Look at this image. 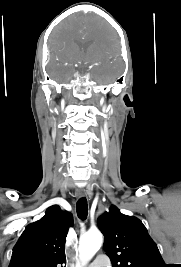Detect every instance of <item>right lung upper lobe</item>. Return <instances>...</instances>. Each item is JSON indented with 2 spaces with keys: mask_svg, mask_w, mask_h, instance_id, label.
I'll list each match as a JSON object with an SVG mask.
<instances>
[{
  "mask_svg": "<svg viewBox=\"0 0 181 267\" xmlns=\"http://www.w3.org/2000/svg\"><path fill=\"white\" fill-rule=\"evenodd\" d=\"M73 224L72 214L58 205L49 207L38 221L28 225L13 248L9 267H57L66 263L65 240Z\"/></svg>",
  "mask_w": 181,
  "mask_h": 267,
  "instance_id": "obj_1",
  "label": "right lung upper lobe"
}]
</instances>
